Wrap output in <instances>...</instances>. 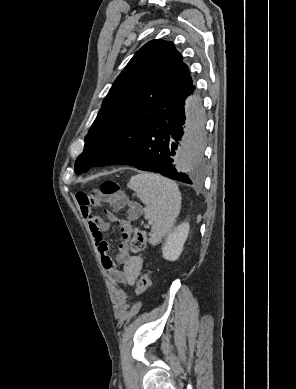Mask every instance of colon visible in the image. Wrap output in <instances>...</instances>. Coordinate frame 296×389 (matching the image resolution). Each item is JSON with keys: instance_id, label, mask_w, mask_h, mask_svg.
I'll use <instances>...</instances> for the list:
<instances>
[{"instance_id": "obj_1", "label": "colon", "mask_w": 296, "mask_h": 389, "mask_svg": "<svg viewBox=\"0 0 296 389\" xmlns=\"http://www.w3.org/2000/svg\"><path fill=\"white\" fill-rule=\"evenodd\" d=\"M100 197L111 206L119 204L123 200L120 186L117 182L107 179L100 186ZM146 246V232L141 228H135L130 240V249L134 253L142 252ZM151 285L149 272H144L137 284V293L143 295Z\"/></svg>"}]
</instances>
